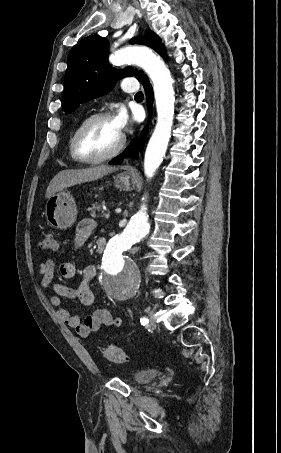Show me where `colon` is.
I'll use <instances>...</instances> for the list:
<instances>
[{
	"label": "colon",
	"instance_id": "5ec220e1",
	"mask_svg": "<svg viewBox=\"0 0 281 453\" xmlns=\"http://www.w3.org/2000/svg\"><path fill=\"white\" fill-rule=\"evenodd\" d=\"M57 233L54 230H46L43 238L39 243L41 251L45 252L46 255H57ZM103 360L106 363H128L132 361V357L124 350L114 347H104L100 349Z\"/></svg>",
	"mask_w": 281,
	"mask_h": 453
}]
</instances>
